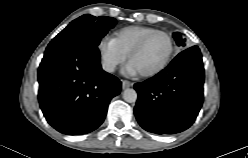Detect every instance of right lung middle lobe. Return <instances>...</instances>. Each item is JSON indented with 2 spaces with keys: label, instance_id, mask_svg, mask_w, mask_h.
I'll return each instance as SVG.
<instances>
[{
  "label": "right lung middle lobe",
  "instance_id": "obj_1",
  "mask_svg": "<svg viewBox=\"0 0 248 158\" xmlns=\"http://www.w3.org/2000/svg\"><path fill=\"white\" fill-rule=\"evenodd\" d=\"M116 24L112 17L100 16L96 19L91 15H83L73 20L51 42L66 41L71 43H87L98 46L109 28Z\"/></svg>",
  "mask_w": 248,
  "mask_h": 158
}]
</instances>
